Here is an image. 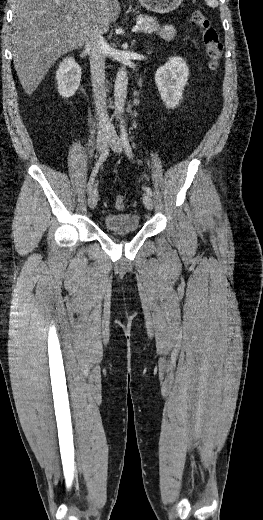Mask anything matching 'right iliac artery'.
<instances>
[{"label": "right iliac artery", "instance_id": "1", "mask_svg": "<svg viewBox=\"0 0 263 520\" xmlns=\"http://www.w3.org/2000/svg\"><path fill=\"white\" fill-rule=\"evenodd\" d=\"M108 154H109V149L106 148L104 150V152L100 155L99 159L97 160V162L95 164V167H94V169H93V171L91 173L89 182L87 184V191H88V193L91 192L92 186H93V183H94V180H95V177H96V175L98 173V170L102 166V164L104 163V161L107 158Z\"/></svg>", "mask_w": 263, "mask_h": 520}]
</instances>
